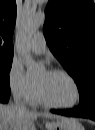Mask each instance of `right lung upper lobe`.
I'll return each instance as SVG.
<instances>
[{
	"instance_id": "cb5924a9",
	"label": "right lung upper lobe",
	"mask_w": 95,
	"mask_h": 130,
	"mask_svg": "<svg viewBox=\"0 0 95 130\" xmlns=\"http://www.w3.org/2000/svg\"><path fill=\"white\" fill-rule=\"evenodd\" d=\"M16 22V1L0 0V59L13 58V31Z\"/></svg>"
}]
</instances>
